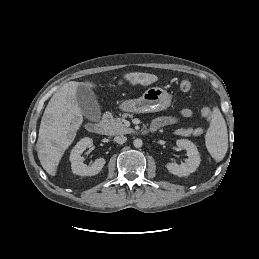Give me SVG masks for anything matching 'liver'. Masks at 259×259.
<instances>
[{
    "mask_svg": "<svg viewBox=\"0 0 259 259\" xmlns=\"http://www.w3.org/2000/svg\"><path fill=\"white\" fill-rule=\"evenodd\" d=\"M124 78L132 85L148 86L158 77L154 74L131 72ZM93 87V83L70 81L54 93L42 116L37 141V153L44 170L55 176L59 162L73 142L77 131L83 123L82 112L76 99L79 84Z\"/></svg>",
    "mask_w": 259,
    "mask_h": 259,
    "instance_id": "6515ba94",
    "label": "liver"
}]
</instances>
